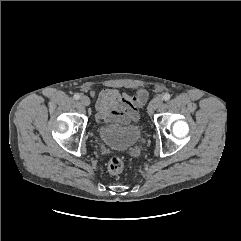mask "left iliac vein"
Returning a JSON list of instances; mask_svg holds the SVG:
<instances>
[{
    "mask_svg": "<svg viewBox=\"0 0 241 241\" xmlns=\"http://www.w3.org/2000/svg\"><path fill=\"white\" fill-rule=\"evenodd\" d=\"M163 99L160 96L155 97L148 106V114L152 115L154 111L162 104Z\"/></svg>",
    "mask_w": 241,
    "mask_h": 241,
    "instance_id": "4c4485c4",
    "label": "left iliac vein"
}]
</instances>
